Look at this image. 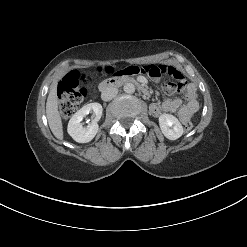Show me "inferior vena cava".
Segmentation results:
<instances>
[{
    "label": "inferior vena cava",
    "instance_id": "1",
    "mask_svg": "<svg viewBox=\"0 0 247 247\" xmlns=\"http://www.w3.org/2000/svg\"><path fill=\"white\" fill-rule=\"evenodd\" d=\"M118 93V89L115 87H110V88H106L104 91H102L101 93V98L104 101H109L112 98H114Z\"/></svg>",
    "mask_w": 247,
    "mask_h": 247
}]
</instances>
